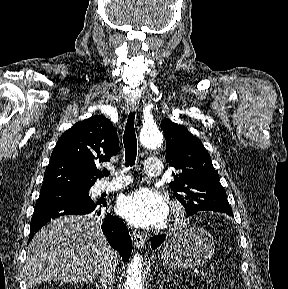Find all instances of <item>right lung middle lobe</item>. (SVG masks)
Listing matches in <instances>:
<instances>
[{"label":"right lung middle lobe","mask_w":288,"mask_h":289,"mask_svg":"<svg viewBox=\"0 0 288 289\" xmlns=\"http://www.w3.org/2000/svg\"><path fill=\"white\" fill-rule=\"evenodd\" d=\"M89 189L90 187L41 189L36 204L66 201L82 205H94L88 194Z\"/></svg>","instance_id":"dd1d6c3e"}]
</instances>
